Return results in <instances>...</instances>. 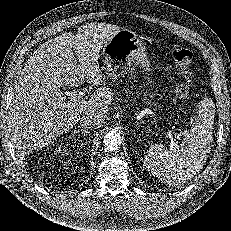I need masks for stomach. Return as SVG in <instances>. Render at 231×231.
<instances>
[{
  "label": "stomach",
  "instance_id": "stomach-1",
  "mask_svg": "<svg viewBox=\"0 0 231 231\" xmlns=\"http://www.w3.org/2000/svg\"><path fill=\"white\" fill-rule=\"evenodd\" d=\"M103 65L112 79L125 77L132 65H140L148 71L150 62L145 45L135 32L119 30L102 49Z\"/></svg>",
  "mask_w": 231,
  "mask_h": 231
}]
</instances>
